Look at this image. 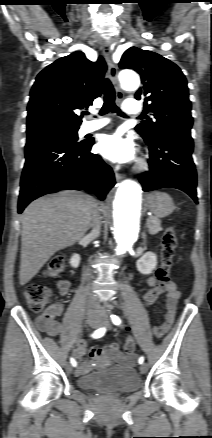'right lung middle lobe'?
<instances>
[{"mask_svg":"<svg viewBox=\"0 0 212 438\" xmlns=\"http://www.w3.org/2000/svg\"><path fill=\"white\" fill-rule=\"evenodd\" d=\"M78 129L79 127H71V126H59V125L44 126V127L27 130V137L47 134V133H58L64 137L69 138L72 141H77Z\"/></svg>","mask_w":212,"mask_h":438,"instance_id":"obj_1","label":"right lung middle lobe"}]
</instances>
